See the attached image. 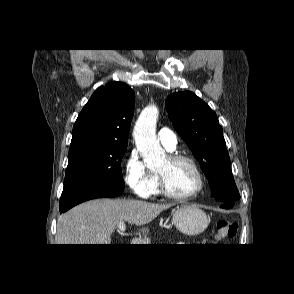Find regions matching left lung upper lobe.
<instances>
[{
    "label": "left lung upper lobe",
    "mask_w": 294,
    "mask_h": 294,
    "mask_svg": "<svg viewBox=\"0 0 294 294\" xmlns=\"http://www.w3.org/2000/svg\"><path fill=\"white\" fill-rule=\"evenodd\" d=\"M165 107L174 128L200 162L212 196L220 200L240 199L216 113L190 91L171 94Z\"/></svg>",
    "instance_id": "obj_1"
}]
</instances>
